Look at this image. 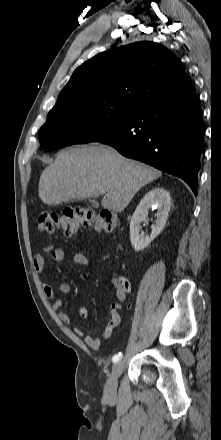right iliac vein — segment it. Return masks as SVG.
Instances as JSON below:
<instances>
[{"label":"right iliac vein","mask_w":221,"mask_h":440,"mask_svg":"<svg viewBox=\"0 0 221 440\" xmlns=\"http://www.w3.org/2000/svg\"><path fill=\"white\" fill-rule=\"evenodd\" d=\"M124 370V363L117 362L112 367V373L107 380L104 388V396L106 399H114L117 394L118 378Z\"/></svg>","instance_id":"obj_1"}]
</instances>
